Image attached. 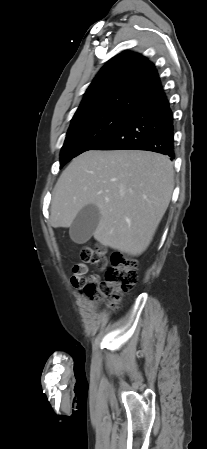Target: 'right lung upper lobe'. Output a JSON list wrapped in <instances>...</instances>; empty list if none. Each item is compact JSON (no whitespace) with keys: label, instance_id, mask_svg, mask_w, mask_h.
<instances>
[{"label":"right lung upper lobe","instance_id":"1","mask_svg":"<svg viewBox=\"0 0 207 449\" xmlns=\"http://www.w3.org/2000/svg\"><path fill=\"white\" fill-rule=\"evenodd\" d=\"M164 95L155 66L124 51L99 71L73 118L112 109L135 112Z\"/></svg>","mask_w":207,"mask_h":449}]
</instances>
